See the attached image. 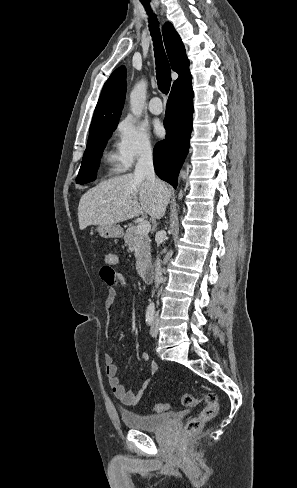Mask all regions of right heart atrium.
<instances>
[{
  "instance_id": "obj_1",
  "label": "right heart atrium",
  "mask_w": 297,
  "mask_h": 488,
  "mask_svg": "<svg viewBox=\"0 0 297 488\" xmlns=\"http://www.w3.org/2000/svg\"><path fill=\"white\" fill-rule=\"evenodd\" d=\"M117 154L125 167L138 159L151 157L154 144L148 132L131 118L120 120L116 127Z\"/></svg>"
}]
</instances>
